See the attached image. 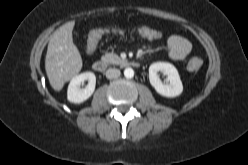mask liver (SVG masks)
<instances>
[{
    "mask_svg": "<svg viewBox=\"0 0 248 165\" xmlns=\"http://www.w3.org/2000/svg\"><path fill=\"white\" fill-rule=\"evenodd\" d=\"M74 25L75 22L70 21L59 27L48 43L45 70L55 91H60L82 68L81 55L73 43Z\"/></svg>",
    "mask_w": 248,
    "mask_h": 165,
    "instance_id": "1",
    "label": "liver"
}]
</instances>
